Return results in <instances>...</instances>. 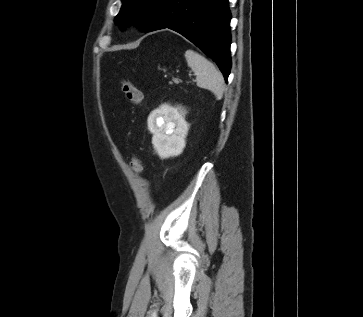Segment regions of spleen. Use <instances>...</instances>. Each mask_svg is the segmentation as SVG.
Returning <instances> with one entry per match:
<instances>
[{"label":"spleen","instance_id":"obj_1","mask_svg":"<svg viewBox=\"0 0 363 317\" xmlns=\"http://www.w3.org/2000/svg\"><path fill=\"white\" fill-rule=\"evenodd\" d=\"M188 66L196 75L198 87L212 91L219 99L224 92V78L222 73L205 57L193 50L185 52Z\"/></svg>","mask_w":363,"mask_h":317}]
</instances>
